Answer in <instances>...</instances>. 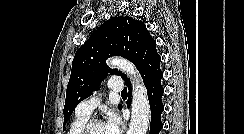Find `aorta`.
<instances>
[{
	"instance_id": "obj_1",
	"label": "aorta",
	"mask_w": 244,
	"mask_h": 134,
	"mask_svg": "<svg viewBox=\"0 0 244 134\" xmlns=\"http://www.w3.org/2000/svg\"><path fill=\"white\" fill-rule=\"evenodd\" d=\"M107 64L126 73L132 81L131 120L127 134H146L150 121V105L146 87L136 67L130 61L118 57L109 59Z\"/></svg>"
}]
</instances>
